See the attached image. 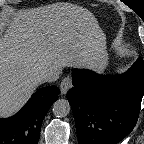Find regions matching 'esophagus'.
<instances>
[{"label": "esophagus", "mask_w": 144, "mask_h": 144, "mask_svg": "<svg viewBox=\"0 0 144 144\" xmlns=\"http://www.w3.org/2000/svg\"><path fill=\"white\" fill-rule=\"evenodd\" d=\"M73 87V81L70 76L65 77L60 84V91L62 95L67 94V92Z\"/></svg>", "instance_id": "esophagus-1"}]
</instances>
